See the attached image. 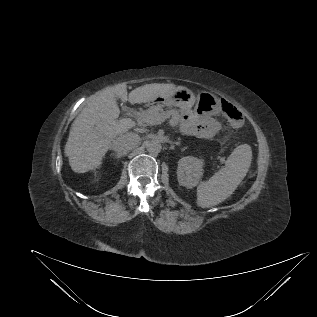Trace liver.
Listing matches in <instances>:
<instances>
[{
	"label": "liver",
	"mask_w": 317,
	"mask_h": 317,
	"mask_svg": "<svg viewBox=\"0 0 317 317\" xmlns=\"http://www.w3.org/2000/svg\"><path fill=\"white\" fill-rule=\"evenodd\" d=\"M176 88L174 84L152 83L137 87L129 94L125 83L106 88L94 95L73 121L65 155L76 173L98 169L111 143L135 126L131 119H119L117 99L142 104L165 96Z\"/></svg>",
	"instance_id": "6515ba94"
}]
</instances>
